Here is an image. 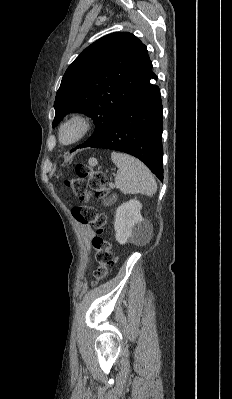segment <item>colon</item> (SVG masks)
<instances>
[{
  "mask_svg": "<svg viewBox=\"0 0 232 399\" xmlns=\"http://www.w3.org/2000/svg\"><path fill=\"white\" fill-rule=\"evenodd\" d=\"M78 168L74 175V180H63V185H69V194L77 196V202H81L80 207H74L71 210L73 218H76V222H94L92 229L97 236L91 239L94 243V267H90V272L94 274V278L102 276L108 277L109 266H114V243L111 242V236L107 235V218L104 213H100L99 209V196L106 195V199H111V173L105 171H94L91 168H97V160H84L77 164ZM81 180V181H79ZM106 190H102L105 188ZM86 186H89V196H94V203H86ZM102 230V232H99ZM102 235L106 236V240H102ZM102 266L104 268H102Z\"/></svg>",
  "mask_w": 232,
  "mask_h": 399,
  "instance_id": "obj_1",
  "label": "colon"
}]
</instances>
